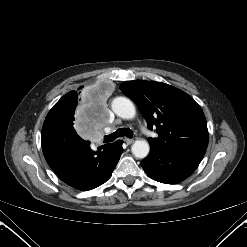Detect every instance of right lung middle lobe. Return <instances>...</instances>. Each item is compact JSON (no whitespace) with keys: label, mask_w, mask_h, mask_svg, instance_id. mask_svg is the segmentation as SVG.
I'll list each match as a JSON object with an SVG mask.
<instances>
[{"label":"right lung middle lobe","mask_w":247,"mask_h":247,"mask_svg":"<svg viewBox=\"0 0 247 247\" xmlns=\"http://www.w3.org/2000/svg\"><path fill=\"white\" fill-rule=\"evenodd\" d=\"M77 99L57 102L49 111L46 119L64 122L73 126L75 120V112L77 108Z\"/></svg>","instance_id":"1"}]
</instances>
